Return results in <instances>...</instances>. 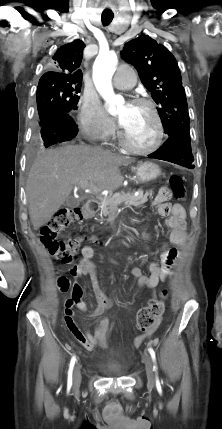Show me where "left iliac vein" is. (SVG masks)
<instances>
[{
  "label": "left iliac vein",
  "mask_w": 222,
  "mask_h": 429,
  "mask_svg": "<svg viewBox=\"0 0 222 429\" xmlns=\"http://www.w3.org/2000/svg\"><path fill=\"white\" fill-rule=\"evenodd\" d=\"M143 361L145 364L148 384L153 385L155 383L154 379V369H153V363L149 355H144Z\"/></svg>",
  "instance_id": "obj_1"
}]
</instances>
